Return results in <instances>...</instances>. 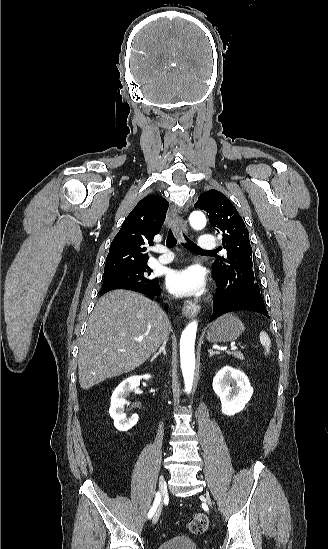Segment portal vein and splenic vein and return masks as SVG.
<instances>
[{
	"instance_id": "1",
	"label": "portal vein and splenic vein",
	"mask_w": 328,
	"mask_h": 549,
	"mask_svg": "<svg viewBox=\"0 0 328 549\" xmlns=\"http://www.w3.org/2000/svg\"><path fill=\"white\" fill-rule=\"evenodd\" d=\"M144 337H138V339H135V341H138V343H142ZM241 349V346H235L231 347V351H239Z\"/></svg>"
}]
</instances>
